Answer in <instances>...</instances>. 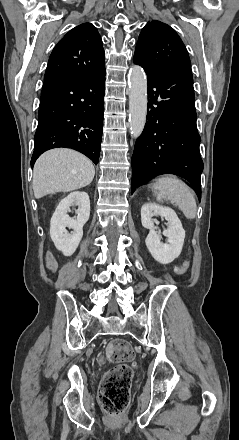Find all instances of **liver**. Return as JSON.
<instances>
[{
	"mask_svg": "<svg viewBox=\"0 0 239 440\" xmlns=\"http://www.w3.org/2000/svg\"><path fill=\"white\" fill-rule=\"evenodd\" d=\"M95 168L83 154L56 148L38 158L33 170L35 198H43L55 192H73L91 184Z\"/></svg>",
	"mask_w": 239,
	"mask_h": 440,
	"instance_id": "6515ba94",
	"label": "liver"
}]
</instances>
